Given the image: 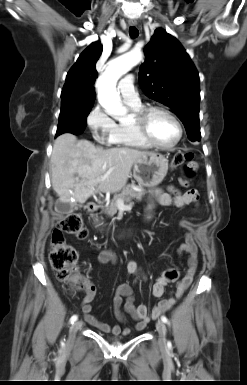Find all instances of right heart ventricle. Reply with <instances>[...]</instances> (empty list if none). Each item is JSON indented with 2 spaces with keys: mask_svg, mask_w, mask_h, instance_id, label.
<instances>
[{
  "mask_svg": "<svg viewBox=\"0 0 247 385\" xmlns=\"http://www.w3.org/2000/svg\"><path fill=\"white\" fill-rule=\"evenodd\" d=\"M134 113H138L141 105H129ZM111 143L118 146L146 149L149 145L140 137L135 130L133 123L119 122L115 124L114 131L111 136Z\"/></svg>",
  "mask_w": 247,
  "mask_h": 385,
  "instance_id": "obj_1",
  "label": "right heart ventricle"
}]
</instances>
